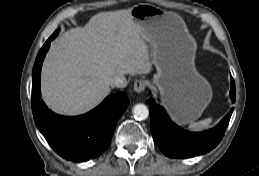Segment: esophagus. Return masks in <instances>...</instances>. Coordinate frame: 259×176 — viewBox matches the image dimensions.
<instances>
[{
	"label": "esophagus",
	"mask_w": 259,
	"mask_h": 176,
	"mask_svg": "<svg viewBox=\"0 0 259 176\" xmlns=\"http://www.w3.org/2000/svg\"><path fill=\"white\" fill-rule=\"evenodd\" d=\"M146 84L147 83L144 80H136L134 82L133 89H134L135 92L141 93V92H143L145 90Z\"/></svg>",
	"instance_id": "esophagus-1"
}]
</instances>
